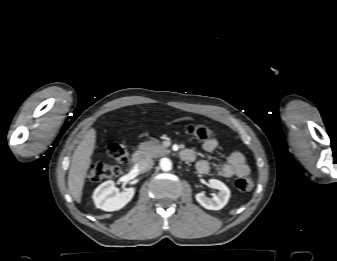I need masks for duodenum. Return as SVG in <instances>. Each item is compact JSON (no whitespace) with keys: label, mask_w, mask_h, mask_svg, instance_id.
Returning a JSON list of instances; mask_svg holds the SVG:
<instances>
[{"label":"duodenum","mask_w":337,"mask_h":261,"mask_svg":"<svg viewBox=\"0 0 337 261\" xmlns=\"http://www.w3.org/2000/svg\"><path fill=\"white\" fill-rule=\"evenodd\" d=\"M143 156L142 153L139 151H136L133 155H132V162L137 164L142 160ZM181 158L184 159L185 155L181 154Z\"/></svg>","instance_id":"duodenum-1"}]
</instances>
